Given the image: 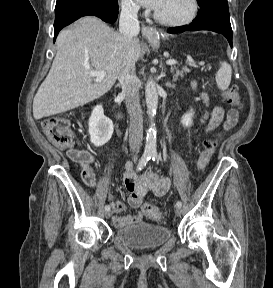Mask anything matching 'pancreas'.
<instances>
[{
	"instance_id": "obj_1",
	"label": "pancreas",
	"mask_w": 273,
	"mask_h": 288,
	"mask_svg": "<svg viewBox=\"0 0 273 288\" xmlns=\"http://www.w3.org/2000/svg\"><path fill=\"white\" fill-rule=\"evenodd\" d=\"M171 72L174 74V80L176 81L178 77H183L184 73L189 72V69L187 67H183L182 69L171 67Z\"/></svg>"
}]
</instances>
